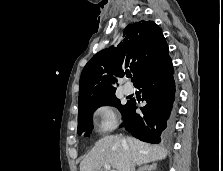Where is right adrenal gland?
I'll return each mask as SVG.
<instances>
[{"label": "right adrenal gland", "mask_w": 223, "mask_h": 171, "mask_svg": "<svg viewBox=\"0 0 223 171\" xmlns=\"http://www.w3.org/2000/svg\"><path fill=\"white\" fill-rule=\"evenodd\" d=\"M157 165L155 163L140 166L137 171H154Z\"/></svg>", "instance_id": "1"}]
</instances>
